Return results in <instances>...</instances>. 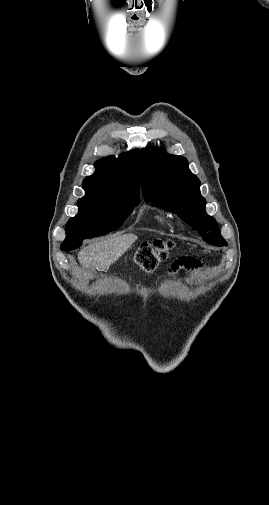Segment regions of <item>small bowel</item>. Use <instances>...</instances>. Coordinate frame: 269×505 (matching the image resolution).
<instances>
[{
	"mask_svg": "<svg viewBox=\"0 0 269 505\" xmlns=\"http://www.w3.org/2000/svg\"><path fill=\"white\" fill-rule=\"evenodd\" d=\"M174 267H176V269H182V270H193L195 267H199L197 269H200V267H204V262H195L193 259H182V260H178L176 262H174ZM174 269V268H173ZM203 269V268H202Z\"/></svg>",
	"mask_w": 269,
	"mask_h": 505,
	"instance_id": "c3829d8e",
	"label": "small bowel"
}]
</instances>
